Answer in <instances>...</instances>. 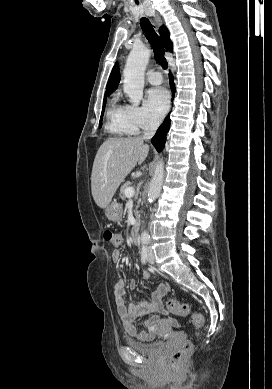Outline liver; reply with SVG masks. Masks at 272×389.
<instances>
[{
    "instance_id": "obj_1",
    "label": "liver",
    "mask_w": 272,
    "mask_h": 389,
    "mask_svg": "<svg viewBox=\"0 0 272 389\" xmlns=\"http://www.w3.org/2000/svg\"><path fill=\"white\" fill-rule=\"evenodd\" d=\"M149 153V145L141 137L110 138L98 149L91 175V191L95 203L106 208L116 190Z\"/></svg>"
}]
</instances>
